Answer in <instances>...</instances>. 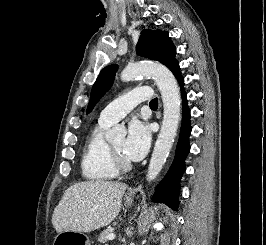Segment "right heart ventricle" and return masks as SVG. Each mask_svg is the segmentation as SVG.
Wrapping results in <instances>:
<instances>
[{
	"mask_svg": "<svg viewBox=\"0 0 266 245\" xmlns=\"http://www.w3.org/2000/svg\"><path fill=\"white\" fill-rule=\"evenodd\" d=\"M111 124L102 121L89 131L82 152L81 172L84 179L95 184H105L115 180L119 172L113 167L108 156V142L105 130Z\"/></svg>",
	"mask_w": 266,
	"mask_h": 245,
	"instance_id": "e07e8e85",
	"label": "right heart ventricle"
}]
</instances>
